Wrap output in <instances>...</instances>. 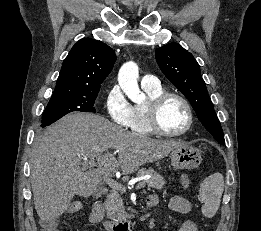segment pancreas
I'll use <instances>...</instances> for the list:
<instances>
[{
    "mask_svg": "<svg viewBox=\"0 0 261 231\" xmlns=\"http://www.w3.org/2000/svg\"><path fill=\"white\" fill-rule=\"evenodd\" d=\"M136 175H149L150 178L146 180L145 183H147L150 188L160 190L166 183L164 178L152 168H142ZM119 191L120 190H112L104 203L107 217L111 220H124L127 217Z\"/></svg>",
    "mask_w": 261,
    "mask_h": 231,
    "instance_id": "obj_1",
    "label": "pancreas"
}]
</instances>
